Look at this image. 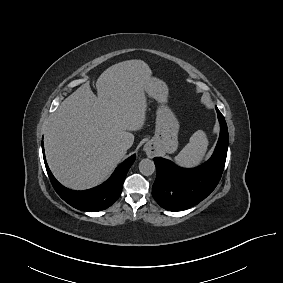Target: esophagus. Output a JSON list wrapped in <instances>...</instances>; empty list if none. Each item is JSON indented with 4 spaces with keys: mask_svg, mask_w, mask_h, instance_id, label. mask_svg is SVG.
<instances>
[{
    "mask_svg": "<svg viewBox=\"0 0 283 283\" xmlns=\"http://www.w3.org/2000/svg\"><path fill=\"white\" fill-rule=\"evenodd\" d=\"M144 151L149 157H154L157 154V148L155 147L153 143H147L144 146Z\"/></svg>",
    "mask_w": 283,
    "mask_h": 283,
    "instance_id": "1",
    "label": "esophagus"
}]
</instances>
